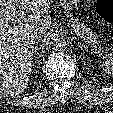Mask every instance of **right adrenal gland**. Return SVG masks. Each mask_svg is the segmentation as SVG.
<instances>
[{
	"label": "right adrenal gland",
	"mask_w": 113,
	"mask_h": 113,
	"mask_svg": "<svg viewBox=\"0 0 113 113\" xmlns=\"http://www.w3.org/2000/svg\"><path fill=\"white\" fill-rule=\"evenodd\" d=\"M39 40L40 39L38 37H36V44L34 46V51L38 50V42H39Z\"/></svg>",
	"instance_id": "right-adrenal-gland-1"
}]
</instances>
